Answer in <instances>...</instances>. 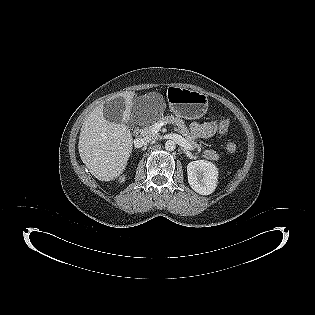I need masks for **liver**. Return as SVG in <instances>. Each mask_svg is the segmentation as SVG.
<instances>
[{
  "label": "liver",
  "instance_id": "liver-1",
  "mask_svg": "<svg viewBox=\"0 0 315 315\" xmlns=\"http://www.w3.org/2000/svg\"><path fill=\"white\" fill-rule=\"evenodd\" d=\"M121 97L125 103V120L131 116L133 93ZM82 162L98 180L112 181L126 168L133 149V137L123 123L109 122L103 117V104L97 106L84 121L78 143Z\"/></svg>",
  "mask_w": 315,
  "mask_h": 315
}]
</instances>
